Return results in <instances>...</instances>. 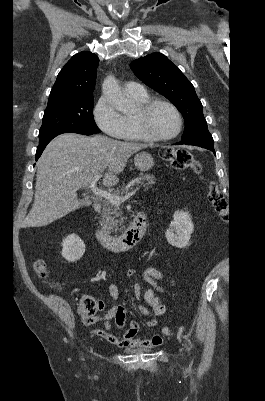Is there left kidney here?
Instances as JSON below:
<instances>
[{
  "instance_id": "1",
  "label": "left kidney",
  "mask_w": 265,
  "mask_h": 401,
  "mask_svg": "<svg viewBox=\"0 0 265 401\" xmlns=\"http://www.w3.org/2000/svg\"><path fill=\"white\" fill-rule=\"evenodd\" d=\"M174 219L171 221L169 229L165 233V237L172 247L177 249H185L189 245V239L194 231V225L190 215L184 211H175Z\"/></svg>"
}]
</instances>
